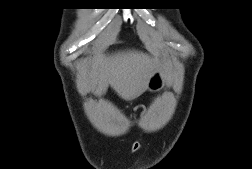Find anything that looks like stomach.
I'll use <instances>...</instances> for the list:
<instances>
[{"mask_svg": "<svg viewBox=\"0 0 252 169\" xmlns=\"http://www.w3.org/2000/svg\"><path fill=\"white\" fill-rule=\"evenodd\" d=\"M163 86H164L163 73H162V71L157 70L152 74V76L148 82L147 89L150 91H158V90L162 89Z\"/></svg>", "mask_w": 252, "mask_h": 169, "instance_id": "obj_1", "label": "stomach"}]
</instances>
